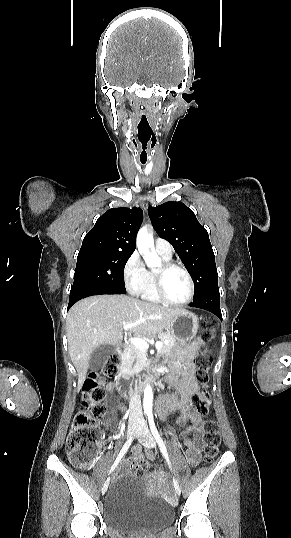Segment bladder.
Instances as JSON below:
<instances>
[{
  "instance_id": "obj_1",
  "label": "bladder",
  "mask_w": 291,
  "mask_h": 538,
  "mask_svg": "<svg viewBox=\"0 0 291 538\" xmlns=\"http://www.w3.org/2000/svg\"><path fill=\"white\" fill-rule=\"evenodd\" d=\"M106 523L121 531L156 529L171 522L173 509L162 499L145 494L142 481L121 475L113 479L103 502Z\"/></svg>"
}]
</instances>
